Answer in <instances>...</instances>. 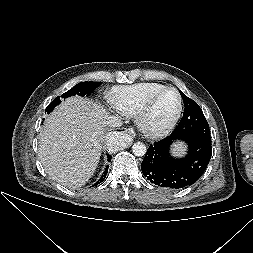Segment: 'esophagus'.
Returning a JSON list of instances; mask_svg holds the SVG:
<instances>
[{"instance_id": "34e87169", "label": "esophagus", "mask_w": 253, "mask_h": 253, "mask_svg": "<svg viewBox=\"0 0 253 253\" xmlns=\"http://www.w3.org/2000/svg\"><path fill=\"white\" fill-rule=\"evenodd\" d=\"M116 134H126V135H128V136H130L132 138L134 136V132L132 130L126 129V128H119V129H117Z\"/></svg>"}]
</instances>
